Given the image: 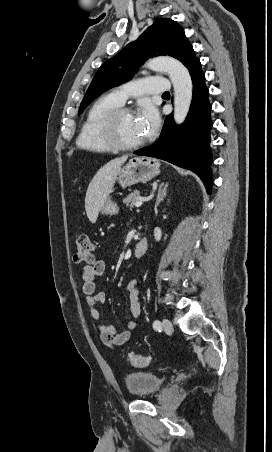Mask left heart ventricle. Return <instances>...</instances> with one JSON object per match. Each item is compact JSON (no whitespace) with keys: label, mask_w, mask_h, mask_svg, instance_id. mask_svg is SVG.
<instances>
[{"label":"left heart ventricle","mask_w":272,"mask_h":452,"mask_svg":"<svg viewBox=\"0 0 272 452\" xmlns=\"http://www.w3.org/2000/svg\"><path fill=\"white\" fill-rule=\"evenodd\" d=\"M118 136L127 143H134L144 138L138 118L134 114H124L118 121Z\"/></svg>","instance_id":"1"}]
</instances>
